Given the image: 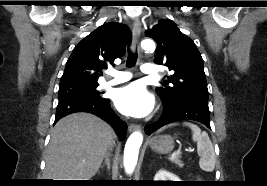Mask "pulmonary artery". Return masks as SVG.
I'll return each mask as SVG.
<instances>
[{"mask_svg":"<svg viewBox=\"0 0 267 186\" xmlns=\"http://www.w3.org/2000/svg\"><path fill=\"white\" fill-rule=\"evenodd\" d=\"M143 74L147 76H156L159 73V68L154 64H145L141 67ZM112 79L106 82L107 85H116L126 82L131 79L132 75L129 72L114 71L111 73Z\"/></svg>","mask_w":267,"mask_h":186,"instance_id":"obj_1","label":"pulmonary artery"}]
</instances>
